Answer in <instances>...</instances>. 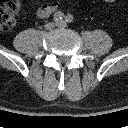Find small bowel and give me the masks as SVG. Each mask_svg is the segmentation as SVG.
Masks as SVG:
<instances>
[{"label":"small bowel","mask_w":128,"mask_h":128,"mask_svg":"<svg viewBox=\"0 0 128 128\" xmlns=\"http://www.w3.org/2000/svg\"><path fill=\"white\" fill-rule=\"evenodd\" d=\"M58 6L59 2L57 0L43 4L37 9L36 14L41 19L47 18L58 9Z\"/></svg>","instance_id":"obj_1"}]
</instances>
